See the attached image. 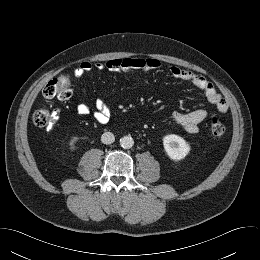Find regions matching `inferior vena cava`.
I'll use <instances>...</instances> for the list:
<instances>
[{"mask_svg": "<svg viewBox=\"0 0 260 260\" xmlns=\"http://www.w3.org/2000/svg\"><path fill=\"white\" fill-rule=\"evenodd\" d=\"M101 141L104 144H111L115 141V136L111 132H105L101 136Z\"/></svg>", "mask_w": 260, "mask_h": 260, "instance_id": "602c4592", "label": "inferior vena cava"}]
</instances>
